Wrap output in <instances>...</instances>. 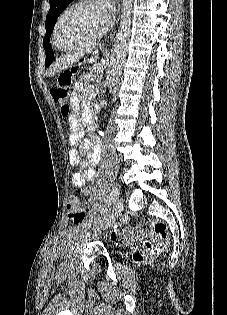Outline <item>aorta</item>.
Returning <instances> with one entry per match:
<instances>
[{
  "instance_id": "aorta-1",
  "label": "aorta",
  "mask_w": 227,
  "mask_h": 315,
  "mask_svg": "<svg viewBox=\"0 0 227 315\" xmlns=\"http://www.w3.org/2000/svg\"><path fill=\"white\" fill-rule=\"evenodd\" d=\"M132 7L133 0H123L121 22L116 33L108 68V84L110 87H113L118 81L125 62L128 51V42L130 39Z\"/></svg>"
}]
</instances>
